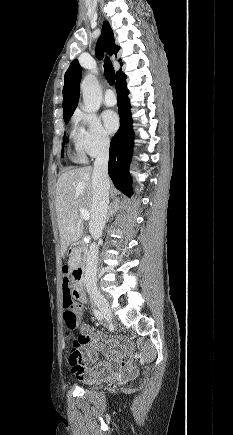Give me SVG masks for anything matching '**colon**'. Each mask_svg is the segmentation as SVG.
Masks as SVG:
<instances>
[{"instance_id": "5ec220e1", "label": "colon", "mask_w": 233, "mask_h": 435, "mask_svg": "<svg viewBox=\"0 0 233 435\" xmlns=\"http://www.w3.org/2000/svg\"><path fill=\"white\" fill-rule=\"evenodd\" d=\"M74 279V272H72L67 266L63 267V281L69 282ZM63 305L65 307L64 311V322L67 329V340L69 346L68 363L78 364L82 361V355L78 347L83 342L84 338L82 336H75L72 332L74 331L77 319H78V309L73 305L70 295L65 294L63 296Z\"/></svg>"}]
</instances>
